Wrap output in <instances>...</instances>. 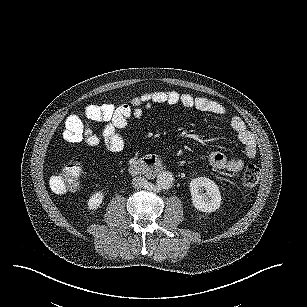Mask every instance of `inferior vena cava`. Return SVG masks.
Instances as JSON below:
<instances>
[{
	"instance_id": "602c4592",
	"label": "inferior vena cava",
	"mask_w": 307,
	"mask_h": 307,
	"mask_svg": "<svg viewBox=\"0 0 307 307\" xmlns=\"http://www.w3.org/2000/svg\"><path fill=\"white\" fill-rule=\"evenodd\" d=\"M147 185V180L144 177L136 176L132 179V186L134 188H143Z\"/></svg>"
}]
</instances>
